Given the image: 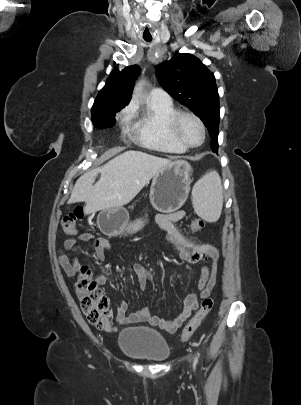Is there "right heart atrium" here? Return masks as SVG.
Masks as SVG:
<instances>
[{"label":"right heart atrium","mask_w":301,"mask_h":405,"mask_svg":"<svg viewBox=\"0 0 301 405\" xmlns=\"http://www.w3.org/2000/svg\"><path fill=\"white\" fill-rule=\"evenodd\" d=\"M132 111H133L132 106H127V107H125V108L122 110V112H121V118H122L123 120L128 121L129 118H130V115H131Z\"/></svg>","instance_id":"1"}]
</instances>
